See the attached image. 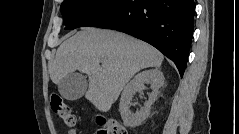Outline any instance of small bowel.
<instances>
[{"instance_id":"1","label":"small bowel","mask_w":239,"mask_h":134,"mask_svg":"<svg viewBox=\"0 0 239 134\" xmlns=\"http://www.w3.org/2000/svg\"><path fill=\"white\" fill-rule=\"evenodd\" d=\"M68 134H75V132H72V131L69 130V131H68Z\"/></svg>"}]
</instances>
